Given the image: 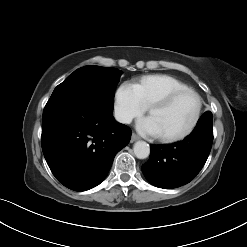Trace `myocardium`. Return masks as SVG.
Listing matches in <instances>:
<instances>
[{
  "instance_id": "1",
  "label": "myocardium",
  "mask_w": 247,
  "mask_h": 247,
  "mask_svg": "<svg viewBox=\"0 0 247 247\" xmlns=\"http://www.w3.org/2000/svg\"><path fill=\"white\" fill-rule=\"evenodd\" d=\"M184 94H192L197 98L198 107L194 119L187 129H185L183 132L177 135H173V136L159 135V138L164 142L172 143V142L180 141L188 137L196 129L202 116L203 98L196 90L192 88H186V89L169 92L148 107V113H151V111H153L154 109L167 108L176 98Z\"/></svg>"
}]
</instances>
